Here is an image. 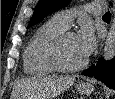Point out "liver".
Returning <instances> with one entry per match:
<instances>
[{
  "instance_id": "liver-1",
  "label": "liver",
  "mask_w": 115,
  "mask_h": 99,
  "mask_svg": "<svg viewBox=\"0 0 115 99\" xmlns=\"http://www.w3.org/2000/svg\"><path fill=\"white\" fill-rule=\"evenodd\" d=\"M74 76H43L17 82L16 99H52L72 86Z\"/></svg>"
}]
</instances>
